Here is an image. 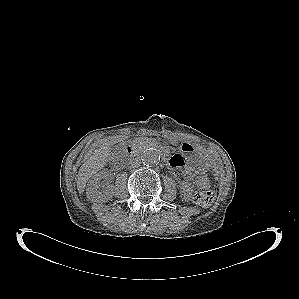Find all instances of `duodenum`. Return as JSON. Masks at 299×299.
<instances>
[{
	"label": "duodenum",
	"instance_id": "duodenum-1",
	"mask_svg": "<svg viewBox=\"0 0 299 299\" xmlns=\"http://www.w3.org/2000/svg\"><path fill=\"white\" fill-rule=\"evenodd\" d=\"M136 146L134 144H129L127 147H126V150H125V156L126 157H130V156H133L135 153H136ZM119 163H121V161H119Z\"/></svg>",
	"mask_w": 299,
	"mask_h": 299
}]
</instances>
